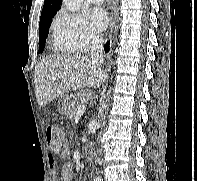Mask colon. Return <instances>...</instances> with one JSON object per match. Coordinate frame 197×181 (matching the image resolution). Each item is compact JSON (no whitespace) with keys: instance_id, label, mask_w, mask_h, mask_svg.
<instances>
[{"instance_id":"colon-1","label":"colon","mask_w":197,"mask_h":181,"mask_svg":"<svg viewBox=\"0 0 197 181\" xmlns=\"http://www.w3.org/2000/svg\"><path fill=\"white\" fill-rule=\"evenodd\" d=\"M46 139L51 152L54 154L58 153L63 145V137L60 130L54 126L47 127Z\"/></svg>"}]
</instances>
